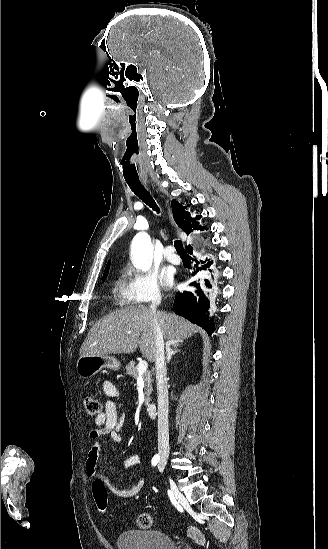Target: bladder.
<instances>
[{
  "label": "bladder",
  "instance_id": "obj_1",
  "mask_svg": "<svg viewBox=\"0 0 328 549\" xmlns=\"http://www.w3.org/2000/svg\"><path fill=\"white\" fill-rule=\"evenodd\" d=\"M119 549H176L174 541L162 531H131L120 533Z\"/></svg>",
  "mask_w": 328,
  "mask_h": 549
}]
</instances>
